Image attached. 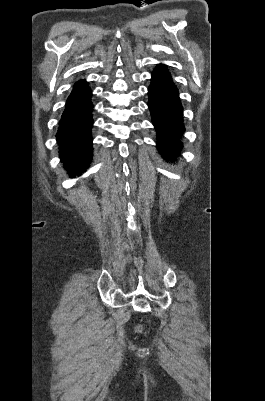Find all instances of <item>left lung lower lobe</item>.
Here are the masks:
<instances>
[{"label":"left lung lower lobe","mask_w":265,"mask_h":401,"mask_svg":"<svg viewBox=\"0 0 265 401\" xmlns=\"http://www.w3.org/2000/svg\"><path fill=\"white\" fill-rule=\"evenodd\" d=\"M148 106L158 135V149L166 159H174L182 148L183 107L179 93L165 66L158 65L148 88Z\"/></svg>","instance_id":"0a47b994"}]
</instances>
